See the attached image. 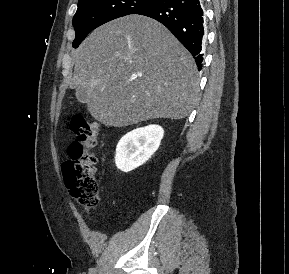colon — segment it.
Returning <instances> with one entry per match:
<instances>
[{
  "mask_svg": "<svg viewBox=\"0 0 289 274\" xmlns=\"http://www.w3.org/2000/svg\"><path fill=\"white\" fill-rule=\"evenodd\" d=\"M76 140L68 148L69 160L63 164V174L71 195L85 209L94 208L99 201L96 179L97 159L92 153L100 133V125L82 116L71 121Z\"/></svg>",
  "mask_w": 289,
  "mask_h": 274,
  "instance_id": "colon-1",
  "label": "colon"
}]
</instances>
